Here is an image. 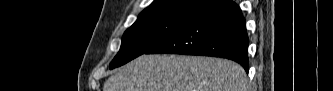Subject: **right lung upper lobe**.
<instances>
[{"mask_svg":"<svg viewBox=\"0 0 333 91\" xmlns=\"http://www.w3.org/2000/svg\"><path fill=\"white\" fill-rule=\"evenodd\" d=\"M204 1L206 0H155L140 13L138 18L179 17L192 19L204 11L201 9Z\"/></svg>","mask_w":333,"mask_h":91,"instance_id":"obj_1","label":"right lung upper lobe"}]
</instances>
